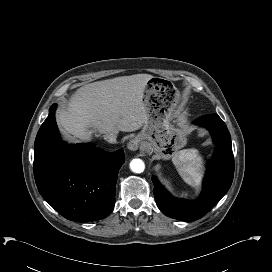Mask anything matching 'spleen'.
<instances>
[{"label":"spleen","mask_w":272,"mask_h":272,"mask_svg":"<svg viewBox=\"0 0 272 272\" xmlns=\"http://www.w3.org/2000/svg\"><path fill=\"white\" fill-rule=\"evenodd\" d=\"M179 175L189 185L198 187L202 178L203 157L197 149L181 150L172 158Z\"/></svg>","instance_id":"obj_1"}]
</instances>
